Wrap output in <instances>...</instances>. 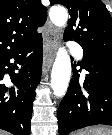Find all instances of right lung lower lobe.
Returning a JSON list of instances; mask_svg holds the SVG:
<instances>
[{
    "label": "right lung lower lobe",
    "mask_w": 112,
    "mask_h": 135,
    "mask_svg": "<svg viewBox=\"0 0 112 135\" xmlns=\"http://www.w3.org/2000/svg\"><path fill=\"white\" fill-rule=\"evenodd\" d=\"M42 35L0 59V129L30 135L35 89L42 69ZM14 59L16 64L10 63ZM19 73L13 72L18 69ZM8 67V68H5ZM9 73L13 87L2 83Z\"/></svg>",
    "instance_id": "right-lung-lower-lobe-1"
}]
</instances>
